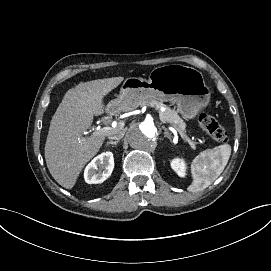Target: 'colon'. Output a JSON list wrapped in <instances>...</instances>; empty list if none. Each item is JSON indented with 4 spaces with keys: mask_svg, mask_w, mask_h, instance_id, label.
<instances>
[{
    "mask_svg": "<svg viewBox=\"0 0 271 271\" xmlns=\"http://www.w3.org/2000/svg\"><path fill=\"white\" fill-rule=\"evenodd\" d=\"M199 126L216 142H226L228 139L225 128L211 115L201 112L198 115Z\"/></svg>",
    "mask_w": 271,
    "mask_h": 271,
    "instance_id": "obj_1",
    "label": "colon"
}]
</instances>
